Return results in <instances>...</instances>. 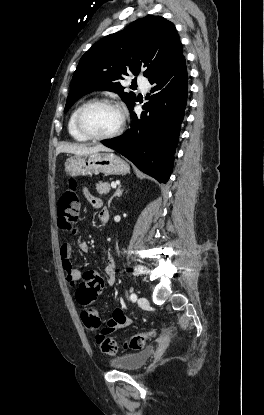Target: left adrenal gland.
Segmentation results:
<instances>
[{"instance_id": "1", "label": "left adrenal gland", "mask_w": 264, "mask_h": 415, "mask_svg": "<svg viewBox=\"0 0 264 415\" xmlns=\"http://www.w3.org/2000/svg\"><path fill=\"white\" fill-rule=\"evenodd\" d=\"M123 190L121 189V184H119L117 190L115 191V193L110 197V199L108 200V205L110 206L112 200L114 197L118 196L120 197L122 195Z\"/></svg>"}]
</instances>
